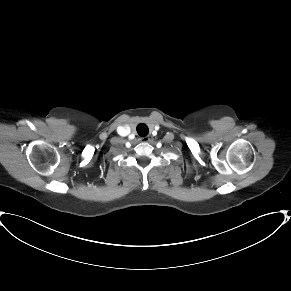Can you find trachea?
<instances>
[{
    "instance_id": "trachea-1",
    "label": "trachea",
    "mask_w": 291,
    "mask_h": 291,
    "mask_svg": "<svg viewBox=\"0 0 291 291\" xmlns=\"http://www.w3.org/2000/svg\"><path fill=\"white\" fill-rule=\"evenodd\" d=\"M137 132L140 136H146L148 134V126L146 124H139L137 126Z\"/></svg>"
}]
</instances>
